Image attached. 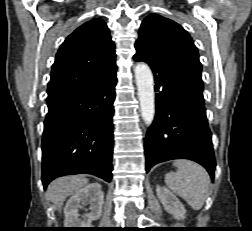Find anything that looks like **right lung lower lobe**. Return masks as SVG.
Wrapping results in <instances>:
<instances>
[{
	"label": "right lung lower lobe",
	"instance_id": "right-lung-lower-lobe-1",
	"mask_svg": "<svg viewBox=\"0 0 252 231\" xmlns=\"http://www.w3.org/2000/svg\"><path fill=\"white\" fill-rule=\"evenodd\" d=\"M116 76L48 105L42 139L44 188L55 178L92 174L112 179Z\"/></svg>",
	"mask_w": 252,
	"mask_h": 231
}]
</instances>
